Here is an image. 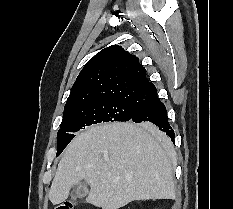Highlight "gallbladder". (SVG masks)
<instances>
[{"mask_svg": "<svg viewBox=\"0 0 233 209\" xmlns=\"http://www.w3.org/2000/svg\"><path fill=\"white\" fill-rule=\"evenodd\" d=\"M88 193L87 184L80 182L75 185L70 193L71 200H76L77 198H84Z\"/></svg>", "mask_w": 233, "mask_h": 209, "instance_id": "gallbladder-1", "label": "gallbladder"}]
</instances>
